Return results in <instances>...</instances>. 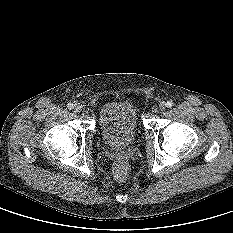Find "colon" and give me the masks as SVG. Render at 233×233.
Segmentation results:
<instances>
[{
	"mask_svg": "<svg viewBox=\"0 0 233 233\" xmlns=\"http://www.w3.org/2000/svg\"><path fill=\"white\" fill-rule=\"evenodd\" d=\"M114 173L119 180H125L128 176V165L126 162L119 161L114 167Z\"/></svg>",
	"mask_w": 233,
	"mask_h": 233,
	"instance_id": "5ec220e1",
	"label": "colon"
}]
</instances>
